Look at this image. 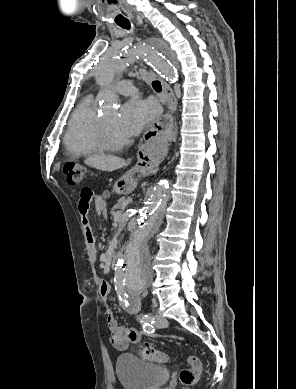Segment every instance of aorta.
Here are the masks:
<instances>
[{"label":"aorta","mask_w":296,"mask_h":389,"mask_svg":"<svg viewBox=\"0 0 296 389\" xmlns=\"http://www.w3.org/2000/svg\"><path fill=\"white\" fill-rule=\"evenodd\" d=\"M164 48L161 42L151 41L107 53L95 67L97 83L102 87L110 85L132 62H144L145 66H153L164 78L175 82L177 71L168 61L167 55L161 53ZM102 100L104 106L112 103L108 96H103ZM168 197L169 183L164 179L152 189L130 239L120 250L115 267V285L122 296L137 295L152 282L154 270L149 241L163 221Z\"/></svg>","instance_id":"obj_1"}]
</instances>
